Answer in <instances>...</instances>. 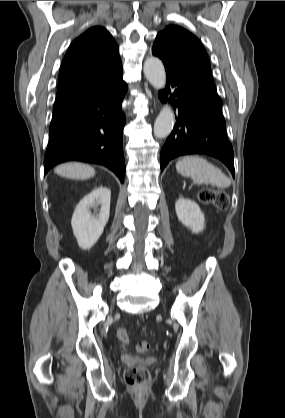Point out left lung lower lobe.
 Here are the masks:
<instances>
[{
	"label": "left lung lower lobe",
	"mask_w": 285,
	"mask_h": 418,
	"mask_svg": "<svg viewBox=\"0 0 285 418\" xmlns=\"http://www.w3.org/2000/svg\"><path fill=\"white\" fill-rule=\"evenodd\" d=\"M153 55L162 59L167 85L160 91L162 102L175 104L179 117L161 150V170L168 162L187 154H206L221 160L234 176L233 148L227 139L222 100L213 81L180 60L155 41Z\"/></svg>",
	"instance_id": "left-lung-lower-lobe-1"
}]
</instances>
